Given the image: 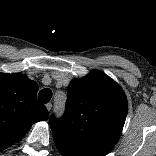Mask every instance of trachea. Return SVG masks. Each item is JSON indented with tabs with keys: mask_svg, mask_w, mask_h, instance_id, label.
I'll list each match as a JSON object with an SVG mask.
<instances>
[{
	"mask_svg": "<svg viewBox=\"0 0 156 156\" xmlns=\"http://www.w3.org/2000/svg\"><path fill=\"white\" fill-rule=\"evenodd\" d=\"M52 97V91L48 88L41 90L38 94V99L43 103H48Z\"/></svg>",
	"mask_w": 156,
	"mask_h": 156,
	"instance_id": "3493384b",
	"label": "trachea"
}]
</instances>
